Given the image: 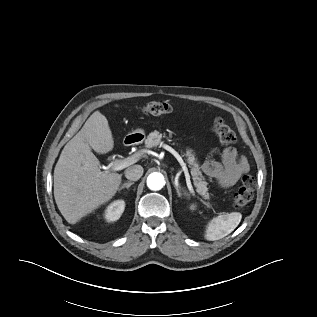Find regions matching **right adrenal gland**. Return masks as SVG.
<instances>
[{
	"label": "right adrenal gland",
	"mask_w": 317,
	"mask_h": 317,
	"mask_svg": "<svg viewBox=\"0 0 317 317\" xmlns=\"http://www.w3.org/2000/svg\"><path fill=\"white\" fill-rule=\"evenodd\" d=\"M133 184H134V182H126L118 189V191L120 192L124 188L129 189L130 186L133 185Z\"/></svg>",
	"instance_id": "right-adrenal-gland-1"
}]
</instances>
